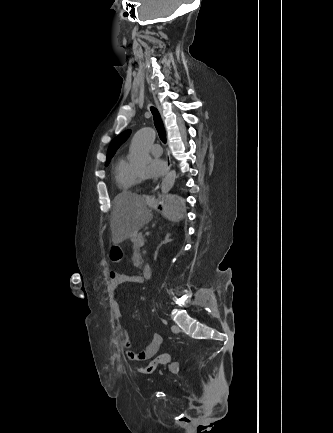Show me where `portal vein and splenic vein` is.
I'll use <instances>...</instances> for the list:
<instances>
[{
    "label": "portal vein and splenic vein",
    "mask_w": 333,
    "mask_h": 433,
    "mask_svg": "<svg viewBox=\"0 0 333 433\" xmlns=\"http://www.w3.org/2000/svg\"><path fill=\"white\" fill-rule=\"evenodd\" d=\"M140 245H144V240H140Z\"/></svg>",
    "instance_id": "1"
}]
</instances>
